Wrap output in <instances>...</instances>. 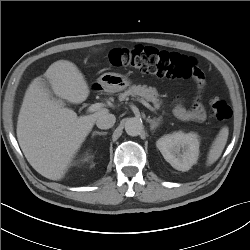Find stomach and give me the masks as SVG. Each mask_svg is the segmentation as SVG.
Instances as JSON below:
<instances>
[{
	"mask_svg": "<svg viewBox=\"0 0 250 250\" xmlns=\"http://www.w3.org/2000/svg\"><path fill=\"white\" fill-rule=\"evenodd\" d=\"M98 86L107 92H119L131 85V81L124 75L118 73H104L97 80Z\"/></svg>",
	"mask_w": 250,
	"mask_h": 250,
	"instance_id": "0dacf381",
	"label": "stomach"
}]
</instances>
